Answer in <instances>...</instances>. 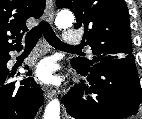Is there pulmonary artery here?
Returning <instances> with one entry per match:
<instances>
[{
    "instance_id": "1",
    "label": "pulmonary artery",
    "mask_w": 142,
    "mask_h": 119,
    "mask_svg": "<svg viewBox=\"0 0 142 119\" xmlns=\"http://www.w3.org/2000/svg\"><path fill=\"white\" fill-rule=\"evenodd\" d=\"M82 40L80 32L76 30H66L63 38V43L67 45L80 44Z\"/></svg>"
}]
</instances>
